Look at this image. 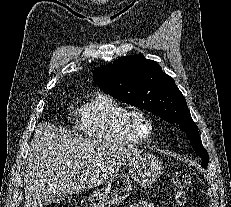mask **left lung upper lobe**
<instances>
[{
	"instance_id": "1",
	"label": "left lung upper lobe",
	"mask_w": 231,
	"mask_h": 207,
	"mask_svg": "<svg viewBox=\"0 0 231 207\" xmlns=\"http://www.w3.org/2000/svg\"><path fill=\"white\" fill-rule=\"evenodd\" d=\"M93 80L116 99L148 109L164 120L178 124L188 135L194 151L202 157V166L207 167L209 156L185 97L157 62L142 54L121 57L113 64L96 68Z\"/></svg>"
}]
</instances>
